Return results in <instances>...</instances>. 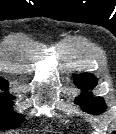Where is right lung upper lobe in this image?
I'll list each match as a JSON object with an SVG mask.
<instances>
[{
  "mask_svg": "<svg viewBox=\"0 0 116 134\" xmlns=\"http://www.w3.org/2000/svg\"><path fill=\"white\" fill-rule=\"evenodd\" d=\"M7 87H8L7 81H5L4 79H0V88L6 89ZM3 95H8V94H3Z\"/></svg>",
  "mask_w": 116,
  "mask_h": 134,
  "instance_id": "obj_1",
  "label": "right lung upper lobe"
}]
</instances>
